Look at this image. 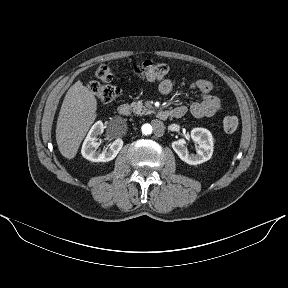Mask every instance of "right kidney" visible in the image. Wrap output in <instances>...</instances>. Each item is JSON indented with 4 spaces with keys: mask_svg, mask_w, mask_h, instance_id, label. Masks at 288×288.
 Listing matches in <instances>:
<instances>
[{
    "mask_svg": "<svg viewBox=\"0 0 288 288\" xmlns=\"http://www.w3.org/2000/svg\"><path fill=\"white\" fill-rule=\"evenodd\" d=\"M104 128L102 121H97L91 127L81 149V154L85 159L92 162H108L113 160L121 150L123 140L118 138L110 144L108 150L102 152L96 151L98 147V143L96 142L97 136L103 133Z\"/></svg>",
    "mask_w": 288,
    "mask_h": 288,
    "instance_id": "obj_1",
    "label": "right kidney"
}]
</instances>
